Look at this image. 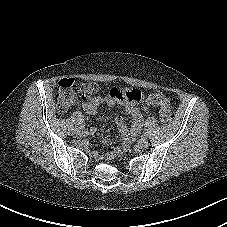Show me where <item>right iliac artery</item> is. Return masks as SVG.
Returning a JSON list of instances; mask_svg holds the SVG:
<instances>
[{"mask_svg": "<svg viewBox=\"0 0 227 227\" xmlns=\"http://www.w3.org/2000/svg\"><path fill=\"white\" fill-rule=\"evenodd\" d=\"M75 127H76V129H78V130H79V129H81V127H82V126H81V124H79V123H78V124H76V126H75Z\"/></svg>", "mask_w": 227, "mask_h": 227, "instance_id": "1", "label": "right iliac artery"}]
</instances>
